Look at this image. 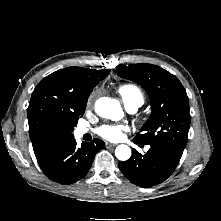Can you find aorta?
<instances>
[{
	"mask_svg": "<svg viewBox=\"0 0 221 221\" xmlns=\"http://www.w3.org/2000/svg\"><path fill=\"white\" fill-rule=\"evenodd\" d=\"M95 112L103 117L113 121L120 120L123 117V110L120 103L112 98L101 97L95 103ZM115 156L120 161H126L131 157V149L127 145L116 147Z\"/></svg>",
	"mask_w": 221,
	"mask_h": 221,
	"instance_id": "aorta-1",
	"label": "aorta"
}]
</instances>
